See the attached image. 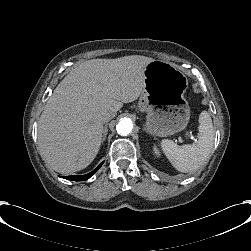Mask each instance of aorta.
<instances>
[{"label": "aorta", "instance_id": "762f6f07", "mask_svg": "<svg viewBox=\"0 0 251 251\" xmlns=\"http://www.w3.org/2000/svg\"><path fill=\"white\" fill-rule=\"evenodd\" d=\"M132 129L133 123L130 119H123L116 126V130L121 136H127Z\"/></svg>", "mask_w": 251, "mask_h": 251}]
</instances>
